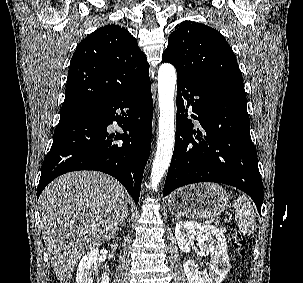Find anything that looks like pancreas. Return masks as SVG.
Instances as JSON below:
<instances>
[{
  "mask_svg": "<svg viewBox=\"0 0 303 283\" xmlns=\"http://www.w3.org/2000/svg\"><path fill=\"white\" fill-rule=\"evenodd\" d=\"M221 232H225V228L224 227H220Z\"/></svg>",
  "mask_w": 303,
  "mask_h": 283,
  "instance_id": "cf45deb5",
  "label": "pancreas"
}]
</instances>
